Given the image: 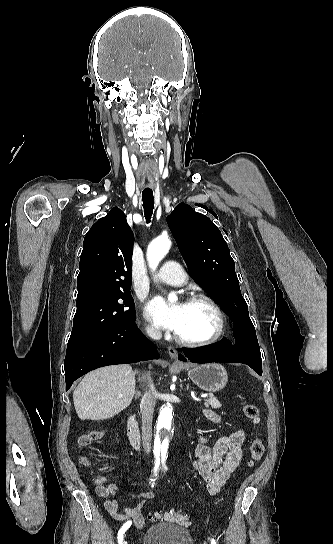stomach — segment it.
I'll return each mask as SVG.
<instances>
[{"mask_svg": "<svg viewBox=\"0 0 333 544\" xmlns=\"http://www.w3.org/2000/svg\"><path fill=\"white\" fill-rule=\"evenodd\" d=\"M188 376L198 387L208 392L222 390L228 381L225 368L218 363L192 365L188 368Z\"/></svg>", "mask_w": 333, "mask_h": 544, "instance_id": "stomach-1", "label": "stomach"}]
</instances>
